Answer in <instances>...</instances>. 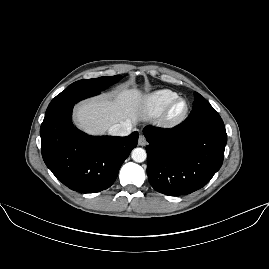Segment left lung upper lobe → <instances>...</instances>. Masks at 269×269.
I'll use <instances>...</instances> for the list:
<instances>
[{"label": "left lung upper lobe", "instance_id": "1", "mask_svg": "<svg viewBox=\"0 0 269 269\" xmlns=\"http://www.w3.org/2000/svg\"><path fill=\"white\" fill-rule=\"evenodd\" d=\"M194 98L193 109L189 117L186 118V123H196L203 120L220 118V115L215 111L210 103L199 93L194 92Z\"/></svg>", "mask_w": 269, "mask_h": 269}]
</instances>
